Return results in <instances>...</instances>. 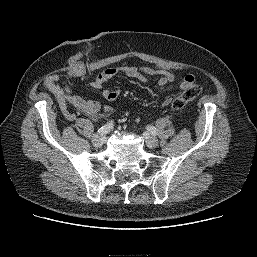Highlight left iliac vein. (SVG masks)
Returning <instances> with one entry per match:
<instances>
[{"instance_id":"obj_1","label":"left iliac vein","mask_w":257,"mask_h":257,"mask_svg":"<svg viewBox=\"0 0 257 257\" xmlns=\"http://www.w3.org/2000/svg\"><path fill=\"white\" fill-rule=\"evenodd\" d=\"M146 144L149 148H155L158 145V140L148 132L143 134Z\"/></svg>"}]
</instances>
